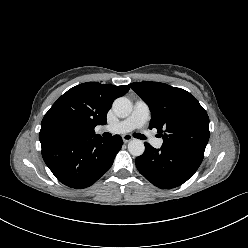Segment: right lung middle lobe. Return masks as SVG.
I'll return each instance as SVG.
<instances>
[{"mask_svg": "<svg viewBox=\"0 0 248 248\" xmlns=\"http://www.w3.org/2000/svg\"><path fill=\"white\" fill-rule=\"evenodd\" d=\"M68 135V132L65 127L61 125H56L51 128L48 132L47 137L51 140H60L65 139Z\"/></svg>", "mask_w": 248, "mask_h": 248, "instance_id": "dd1d6c3e", "label": "right lung middle lobe"}]
</instances>
